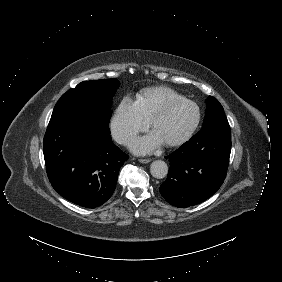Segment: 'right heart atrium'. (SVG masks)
Returning <instances> with one entry per match:
<instances>
[{
	"label": "right heart atrium",
	"instance_id": "obj_1",
	"mask_svg": "<svg viewBox=\"0 0 282 282\" xmlns=\"http://www.w3.org/2000/svg\"><path fill=\"white\" fill-rule=\"evenodd\" d=\"M150 120L137 101L125 97L117 107L111 121L114 138L121 143H128L137 133L145 131Z\"/></svg>",
	"mask_w": 282,
	"mask_h": 282
}]
</instances>
